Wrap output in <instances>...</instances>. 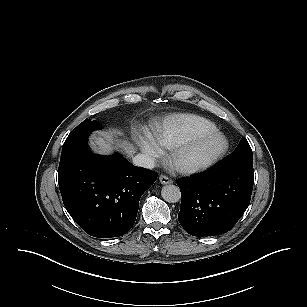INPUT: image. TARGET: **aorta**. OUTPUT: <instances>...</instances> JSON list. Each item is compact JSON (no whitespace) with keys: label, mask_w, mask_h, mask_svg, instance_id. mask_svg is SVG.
Masks as SVG:
<instances>
[{"label":"aorta","mask_w":307,"mask_h":307,"mask_svg":"<svg viewBox=\"0 0 307 307\" xmlns=\"http://www.w3.org/2000/svg\"><path fill=\"white\" fill-rule=\"evenodd\" d=\"M162 198L169 203H176L181 199L179 187L169 184L165 185L161 190Z\"/></svg>","instance_id":"762f6f07"}]
</instances>
